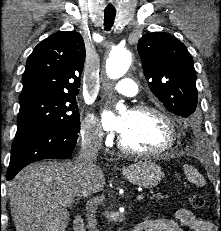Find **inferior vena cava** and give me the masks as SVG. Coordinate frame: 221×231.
I'll use <instances>...</instances> for the list:
<instances>
[{"instance_id":"1","label":"inferior vena cava","mask_w":221,"mask_h":231,"mask_svg":"<svg viewBox=\"0 0 221 231\" xmlns=\"http://www.w3.org/2000/svg\"><path fill=\"white\" fill-rule=\"evenodd\" d=\"M101 141L102 137L100 134L87 132L76 162L82 167H92L96 160ZM87 208L89 210L87 213V229L89 231H98L96 227V207L94 201H90V203L87 204Z\"/></svg>"}]
</instances>
